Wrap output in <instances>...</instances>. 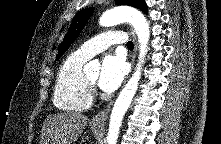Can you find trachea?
Listing matches in <instances>:
<instances>
[{
	"label": "trachea",
	"mask_w": 221,
	"mask_h": 144,
	"mask_svg": "<svg viewBox=\"0 0 221 144\" xmlns=\"http://www.w3.org/2000/svg\"><path fill=\"white\" fill-rule=\"evenodd\" d=\"M127 48L133 49V43L131 41L127 42Z\"/></svg>",
	"instance_id": "3493384b"
}]
</instances>
